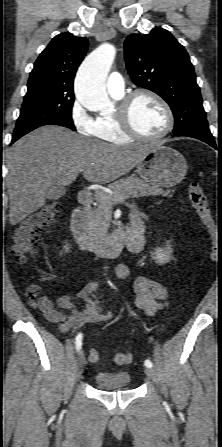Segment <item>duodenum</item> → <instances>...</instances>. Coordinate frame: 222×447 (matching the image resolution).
Segmentation results:
<instances>
[{
  "instance_id": "1",
  "label": "duodenum",
  "mask_w": 222,
  "mask_h": 447,
  "mask_svg": "<svg viewBox=\"0 0 222 447\" xmlns=\"http://www.w3.org/2000/svg\"><path fill=\"white\" fill-rule=\"evenodd\" d=\"M91 203V195L86 191H80L79 205L74 209L71 217V230L81 248L105 257L118 256L125 248L133 253H139L142 250L143 229L139 216L131 217L129 222L118 226L104 238H93L86 224L87 210Z\"/></svg>"
}]
</instances>
